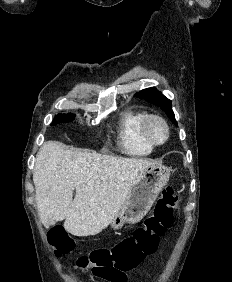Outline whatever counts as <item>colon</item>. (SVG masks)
Wrapping results in <instances>:
<instances>
[{"label":"colon","mask_w":232,"mask_h":282,"mask_svg":"<svg viewBox=\"0 0 232 282\" xmlns=\"http://www.w3.org/2000/svg\"><path fill=\"white\" fill-rule=\"evenodd\" d=\"M177 203V192L173 187L166 186L152 214L145 218L131 236L123 238L110 248L96 249L79 256L74 262L75 267L83 273H91L97 277L134 269L157 249L159 239L171 225ZM49 241L57 257L69 253L75 245L73 238L62 227L50 230Z\"/></svg>","instance_id":"colon-1"}]
</instances>
